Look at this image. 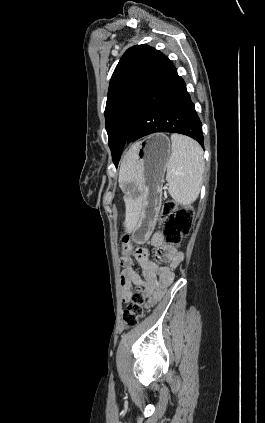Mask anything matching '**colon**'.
<instances>
[{
	"mask_svg": "<svg viewBox=\"0 0 265 423\" xmlns=\"http://www.w3.org/2000/svg\"><path fill=\"white\" fill-rule=\"evenodd\" d=\"M162 233L167 244L178 245L187 236L193 226L194 210L190 207L179 206L174 201H167L162 209ZM132 250L130 238L124 235L121 244L122 255L129 254ZM144 297L141 292L134 291L130 304L124 310L123 321L127 327H135L144 317Z\"/></svg>",
	"mask_w": 265,
	"mask_h": 423,
	"instance_id": "1",
	"label": "colon"
}]
</instances>
